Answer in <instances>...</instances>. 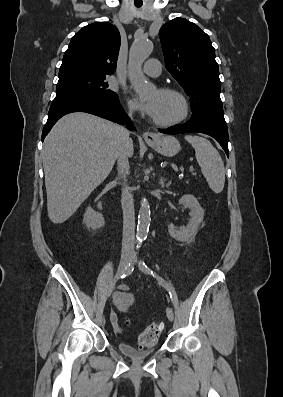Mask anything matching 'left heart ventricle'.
I'll list each match as a JSON object with an SVG mask.
<instances>
[{"label":"left heart ventricle","mask_w":283,"mask_h":397,"mask_svg":"<svg viewBox=\"0 0 283 397\" xmlns=\"http://www.w3.org/2000/svg\"><path fill=\"white\" fill-rule=\"evenodd\" d=\"M155 102L153 118L159 121H167L178 117L182 112L180 99L173 94L160 93L155 91L149 97Z\"/></svg>","instance_id":"obj_1"}]
</instances>
